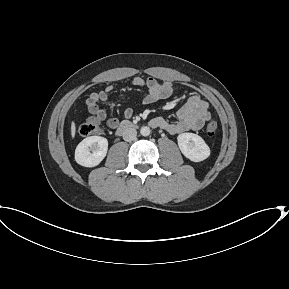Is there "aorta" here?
Segmentation results:
<instances>
[{
  "label": "aorta",
  "mask_w": 289,
  "mask_h": 289,
  "mask_svg": "<svg viewBox=\"0 0 289 289\" xmlns=\"http://www.w3.org/2000/svg\"><path fill=\"white\" fill-rule=\"evenodd\" d=\"M140 133H141L142 136H148L150 134V128L147 127V126H143L140 129Z\"/></svg>",
  "instance_id": "obj_1"
}]
</instances>
